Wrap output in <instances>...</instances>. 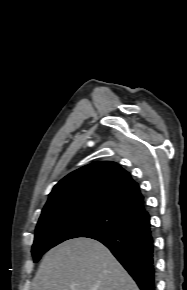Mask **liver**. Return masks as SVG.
<instances>
[{"label":"liver","mask_w":187,"mask_h":290,"mask_svg":"<svg viewBox=\"0 0 187 290\" xmlns=\"http://www.w3.org/2000/svg\"><path fill=\"white\" fill-rule=\"evenodd\" d=\"M33 290H139L108 248L90 238L67 240L43 258Z\"/></svg>","instance_id":"1"}]
</instances>
